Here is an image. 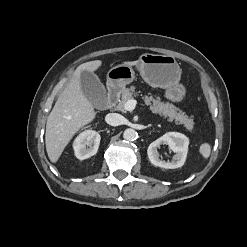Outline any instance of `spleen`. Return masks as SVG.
I'll return each mask as SVG.
<instances>
[{
	"label": "spleen",
	"mask_w": 247,
	"mask_h": 247,
	"mask_svg": "<svg viewBox=\"0 0 247 247\" xmlns=\"http://www.w3.org/2000/svg\"><path fill=\"white\" fill-rule=\"evenodd\" d=\"M199 153L204 159H207L211 153V146L208 143H202L199 148Z\"/></svg>",
	"instance_id": "1"
}]
</instances>
